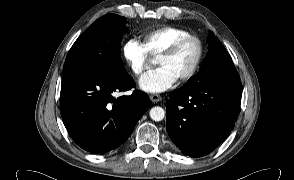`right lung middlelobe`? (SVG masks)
Here are the masks:
<instances>
[{
	"label": "right lung middle lobe",
	"mask_w": 294,
	"mask_h": 180,
	"mask_svg": "<svg viewBox=\"0 0 294 180\" xmlns=\"http://www.w3.org/2000/svg\"><path fill=\"white\" fill-rule=\"evenodd\" d=\"M126 23L125 17L115 14L97 19L71 47L62 79L85 73L128 76L120 55L121 40L128 29Z\"/></svg>",
	"instance_id": "dd1d6c3e"
}]
</instances>
